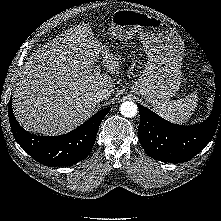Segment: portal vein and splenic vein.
<instances>
[{
	"mask_svg": "<svg viewBox=\"0 0 221 221\" xmlns=\"http://www.w3.org/2000/svg\"><path fill=\"white\" fill-rule=\"evenodd\" d=\"M99 70H100L99 67H97L94 69V72H99Z\"/></svg>",
	"mask_w": 221,
	"mask_h": 221,
	"instance_id": "1",
	"label": "portal vein and splenic vein"
}]
</instances>
